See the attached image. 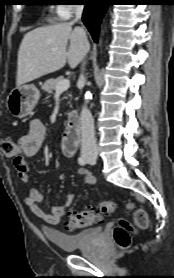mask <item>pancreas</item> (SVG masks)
Returning a JSON list of instances; mask_svg holds the SVG:
<instances>
[{"label": "pancreas", "instance_id": "cf45deb5", "mask_svg": "<svg viewBox=\"0 0 174 278\" xmlns=\"http://www.w3.org/2000/svg\"><path fill=\"white\" fill-rule=\"evenodd\" d=\"M64 78L62 76L57 77L56 79H49L42 85V90L47 93H51L55 90L57 84L63 81Z\"/></svg>", "mask_w": 174, "mask_h": 278}]
</instances>
